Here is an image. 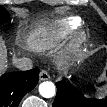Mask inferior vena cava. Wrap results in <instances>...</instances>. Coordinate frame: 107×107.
Instances as JSON below:
<instances>
[{"label": "inferior vena cava", "mask_w": 107, "mask_h": 107, "mask_svg": "<svg viewBox=\"0 0 107 107\" xmlns=\"http://www.w3.org/2000/svg\"><path fill=\"white\" fill-rule=\"evenodd\" d=\"M13 63L21 71H27L33 68L32 60L27 57L14 58Z\"/></svg>", "instance_id": "obj_1"}]
</instances>
